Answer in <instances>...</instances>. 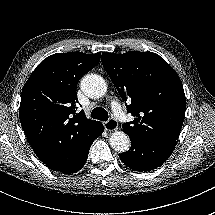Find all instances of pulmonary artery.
<instances>
[{"instance_id": "pulmonary-artery-1", "label": "pulmonary artery", "mask_w": 215, "mask_h": 215, "mask_svg": "<svg viewBox=\"0 0 215 215\" xmlns=\"http://www.w3.org/2000/svg\"><path fill=\"white\" fill-rule=\"evenodd\" d=\"M113 116H114V118L117 119V120H122V119H124L125 116H126V111H125V109L122 108V107H117V108H115L114 111H113Z\"/></svg>"}]
</instances>
